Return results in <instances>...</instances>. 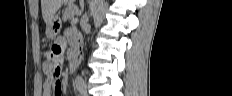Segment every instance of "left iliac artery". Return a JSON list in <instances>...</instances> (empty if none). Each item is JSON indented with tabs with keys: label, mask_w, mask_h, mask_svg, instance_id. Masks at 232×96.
<instances>
[{
	"label": "left iliac artery",
	"mask_w": 232,
	"mask_h": 96,
	"mask_svg": "<svg viewBox=\"0 0 232 96\" xmlns=\"http://www.w3.org/2000/svg\"><path fill=\"white\" fill-rule=\"evenodd\" d=\"M80 92L82 95H86L87 90H86V86L84 84L80 85Z\"/></svg>",
	"instance_id": "44dca946"
}]
</instances>
